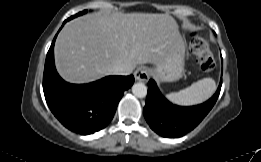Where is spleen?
Masks as SVG:
<instances>
[{"label":"spleen","mask_w":261,"mask_h":162,"mask_svg":"<svg viewBox=\"0 0 261 162\" xmlns=\"http://www.w3.org/2000/svg\"><path fill=\"white\" fill-rule=\"evenodd\" d=\"M215 90V81L212 78H204L179 92L167 94L166 98L174 104L190 106L204 102Z\"/></svg>","instance_id":"1"}]
</instances>
